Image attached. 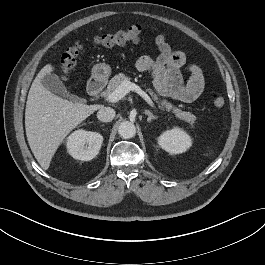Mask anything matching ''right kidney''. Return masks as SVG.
Returning a JSON list of instances; mask_svg holds the SVG:
<instances>
[{
    "label": "right kidney",
    "mask_w": 265,
    "mask_h": 265,
    "mask_svg": "<svg viewBox=\"0 0 265 265\" xmlns=\"http://www.w3.org/2000/svg\"><path fill=\"white\" fill-rule=\"evenodd\" d=\"M102 142L103 137L97 132L77 130L67 139V151L74 159L89 161L99 153Z\"/></svg>",
    "instance_id": "obj_1"
}]
</instances>
